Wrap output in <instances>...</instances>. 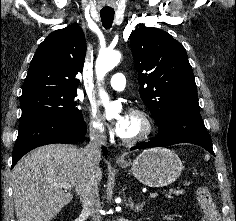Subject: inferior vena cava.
<instances>
[{
    "mask_svg": "<svg viewBox=\"0 0 236 221\" xmlns=\"http://www.w3.org/2000/svg\"><path fill=\"white\" fill-rule=\"evenodd\" d=\"M89 138L90 142L81 151L87 173L80 190V201L82 203L83 212L88 213L92 221H102L101 215L99 214V180L95 172L96 169L99 168L101 147L106 144L107 137L104 130L90 128Z\"/></svg>",
    "mask_w": 236,
    "mask_h": 221,
    "instance_id": "obj_1",
    "label": "inferior vena cava"
}]
</instances>
